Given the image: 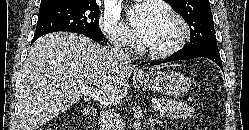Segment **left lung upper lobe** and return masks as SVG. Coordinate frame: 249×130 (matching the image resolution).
Instances as JSON below:
<instances>
[{"instance_id": "5c2ea615", "label": "left lung upper lobe", "mask_w": 249, "mask_h": 130, "mask_svg": "<svg viewBox=\"0 0 249 130\" xmlns=\"http://www.w3.org/2000/svg\"><path fill=\"white\" fill-rule=\"evenodd\" d=\"M190 28V42L184 49L219 51L209 0H166Z\"/></svg>"}]
</instances>
